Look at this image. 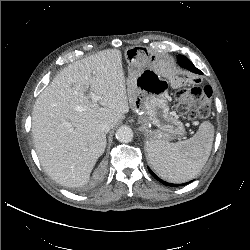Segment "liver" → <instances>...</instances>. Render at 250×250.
<instances>
[{"instance_id":"6515ba94","label":"liver","mask_w":250,"mask_h":250,"mask_svg":"<svg viewBox=\"0 0 250 250\" xmlns=\"http://www.w3.org/2000/svg\"><path fill=\"white\" fill-rule=\"evenodd\" d=\"M125 83L121 51L107 49L64 68L38 96L32 112L34 145L55 182L66 187L88 183L106 148L99 125L113 128L129 111Z\"/></svg>"}]
</instances>
